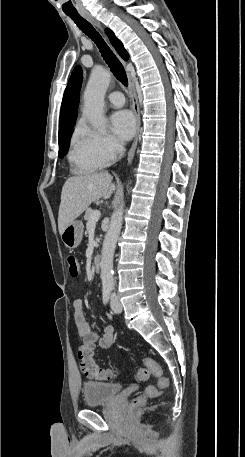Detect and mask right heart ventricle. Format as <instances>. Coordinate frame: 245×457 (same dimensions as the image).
<instances>
[{
	"mask_svg": "<svg viewBox=\"0 0 245 457\" xmlns=\"http://www.w3.org/2000/svg\"><path fill=\"white\" fill-rule=\"evenodd\" d=\"M73 157L86 169L97 170L104 166V163L94 156L84 141V129L77 126L71 139Z\"/></svg>",
	"mask_w": 245,
	"mask_h": 457,
	"instance_id": "obj_1",
	"label": "right heart ventricle"
}]
</instances>
